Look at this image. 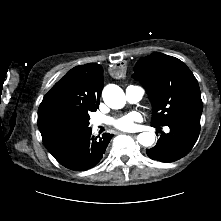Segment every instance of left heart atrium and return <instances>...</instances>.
Masks as SVG:
<instances>
[{"mask_svg": "<svg viewBox=\"0 0 221 221\" xmlns=\"http://www.w3.org/2000/svg\"><path fill=\"white\" fill-rule=\"evenodd\" d=\"M141 121V114L133 111L111 119L110 123L119 130L131 131L134 130L137 123Z\"/></svg>", "mask_w": 221, "mask_h": 221, "instance_id": "obj_1", "label": "left heart atrium"}]
</instances>
